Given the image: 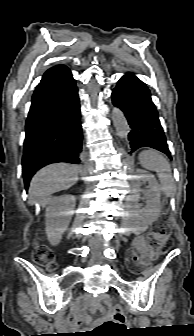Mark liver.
<instances>
[{"instance_id": "obj_1", "label": "liver", "mask_w": 194, "mask_h": 336, "mask_svg": "<svg viewBox=\"0 0 194 336\" xmlns=\"http://www.w3.org/2000/svg\"><path fill=\"white\" fill-rule=\"evenodd\" d=\"M79 167L66 163L48 165L39 170L29 186V204H46L50 196L73 186L78 181Z\"/></svg>"}]
</instances>
